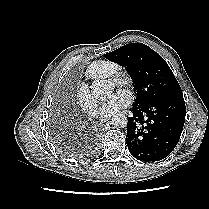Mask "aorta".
Segmentation results:
<instances>
[{
	"mask_svg": "<svg viewBox=\"0 0 209 209\" xmlns=\"http://www.w3.org/2000/svg\"><path fill=\"white\" fill-rule=\"evenodd\" d=\"M110 93V87L105 82L97 81L92 86V94L96 99L104 100ZM127 123L128 119L123 113L116 114L111 119V124L116 127H125Z\"/></svg>",
	"mask_w": 209,
	"mask_h": 209,
	"instance_id": "762f6f07",
	"label": "aorta"
}]
</instances>
